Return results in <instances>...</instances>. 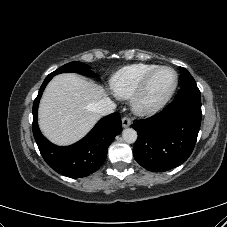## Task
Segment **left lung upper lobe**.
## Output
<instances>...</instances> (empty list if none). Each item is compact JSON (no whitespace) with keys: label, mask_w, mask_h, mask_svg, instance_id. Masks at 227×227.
<instances>
[{"label":"left lung upper lobe","mask_w":227,"mask_h":227,"mask_svg":"<svg viewBox=\"0 0 227 227\" xmlns=\"http://www.w3.org/2000/svg\"><path fill=\"white\" fill-rule=\"evenodd\" d=\"M180 73H181V86L188 83L195 82L194 78L185 68L180 67Z\"/></svg>","instance_id":"1"}]
</instances>
